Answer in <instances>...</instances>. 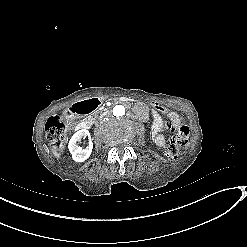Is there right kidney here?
Here are the masks:
<instances>
[{
  "label": "right kidney",
  "mask_w": 247,
  "mask_h": 247,
  "mask_svg": "<svg viewBox=\"0 0 247 247\" xmlns=\"http://www.w3.org/2000/svg\"><path fill=\"white\" fill-rule=\"evenodd\" d=\"M89 131L86 129H81L76 131L69 140L68 149L72 154V158L75 162H84L86 161L92 154L93 145L90 143L85 149L78 145V141L81 138H85L89 136Z\"/></svg>",
  "instance_id": "ca27d5eb"
}]
</instances>
